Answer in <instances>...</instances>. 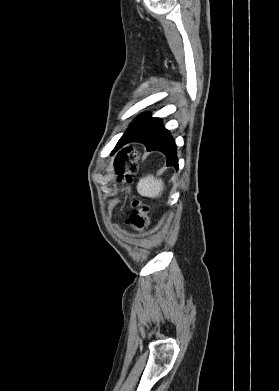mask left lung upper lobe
<instances>
[{
  "label": "left lung upper lobe",
  "mask_w": 279,
  "mask_h": 391,
  "mask_svg": "<svg viewBox=\"0 0 279 391\" xmlns=\"http://www.w3.org/2000/svg\"><path fill=\"white\" fill-rule=\"evenodd\" d=\"M159 118H151L148 113L142 114L135 119V121L130 125L129 129L126 131L125 135L119 140L116 145V148L120 145L122 140L129 135H136L148 130L152 126H154L157 122H159Z\"/></svg>",
  "instance_id": "5c2ea615"
}]
</instances>
